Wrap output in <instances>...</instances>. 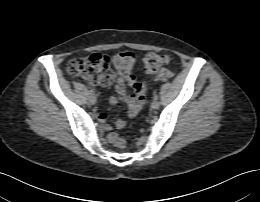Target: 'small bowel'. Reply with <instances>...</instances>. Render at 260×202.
Returning <instances> with one entry per match:
<instances>
[{
  "mask_svg": "<svg viewBox=\"0 0 260 202\" xmlns=\"http://www.w3.org/2000/svg\"><path fill=\"white\" fill-rule=\"evenodd\" d=\"M128 83L130 87L133 89L132 95L126 94L125 84L121 78L116 79L115 87L118 93V96H112L109 101L111 104L115 105L118 102H125L128 105V114L130 117H135L141 108L143 107L146 96H147V85L145 82L137 80L134 76L128 77ZM98 120L103 124V128L106 131H111L112 126L107 123L108 115L106 113H100L98 115ZM115 127L117 129H121L125 126V122L122 119H117L115 121ZM111 135V134H110ZM111 141V138L109 136Z\"/></svg>",
  "mask_w": 260,
  "mask_h": 202,
  "instance_id": "c3829d8e",
  "label": "small bowel"
}]
</instances>
